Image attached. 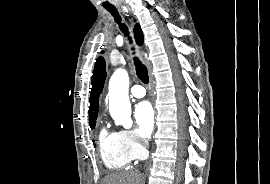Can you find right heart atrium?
<instances>
[{"label": "right heart atrium", "mask_w": 270, "mask_h": 184, "mask_svg": "<svg viewBox=\"0 0 270 184\" xmlns=\"http://www.w3.org/2000/svg\"><path fill=\"white\" fill-rule=\"evenodd\" d=\"M119 136L124 148L132 157V159H139L145 154V143L134 130L123 129L120 130Z\"/></svg>", "instance_id": "d8ad5b80"}]
</instances>
